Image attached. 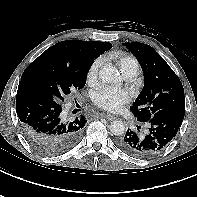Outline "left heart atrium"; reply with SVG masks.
I'll return each mask as SVG.
<instances>
[{"mask_svg": "<svg viewBox=\"0 0 197 197\" xmlns=\"http://www.w3.org/2000/svg\"><path fill=\"white\" fill-rule=\"evenodd\" d=\"M92 100L99 108L116 112L130 101V94L124 89L102 86L94 92Z\"/></svg>", "mask_w": 197, "mask_h": 197, "instance_id": "39dd6f15", "label": "left heart atrium"}]
</instances>
